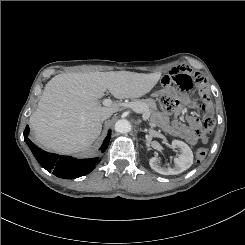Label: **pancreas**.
<instances>
[{"label": "pancreas", "instance_id": "obj_1", "mask_svg": "<svg viewBox=\"0 0 245 245\" xmlns=\"http://www.w3.org/2000/svg\"><path fill=\"white\" fill-rule=\"evenodd\" d=\"M129 103H134L136 104V109L134 111L138 113H144L146 110L149 111V113L153 114L156 110V104L153 99H146V100H134L133 102Z\"/></svg>", "mask_w": 245, "mask_h": 245}]
</instances>
